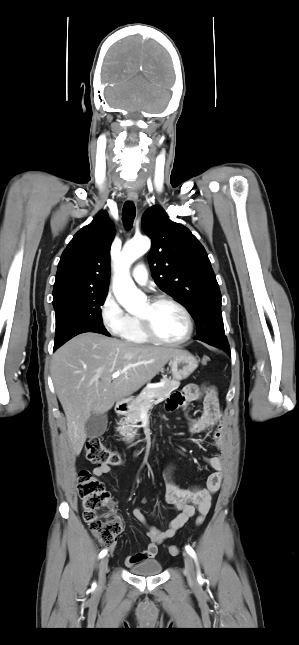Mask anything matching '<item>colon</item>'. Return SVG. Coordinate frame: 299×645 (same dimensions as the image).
<instances>
[{
  "label": "colon",
  "mask_w": 299,
  "mask_h": 645,
  "mask_svg": "<svg viewBox=\"0 0 299 645\" xmlns=\"http://www.w3.org/2000/svg\"><path fill=\"white\" fill-rule=\"evenodd\" d=\"M210 362L209 356L202 358L203 365H209ZM85 451L86 458L94 464L119 466L123 461L120 453L107 448L99 438L89 439ZM78 489L84 520L101 544L112 547L123 529V523L115 512L110 494L88 470L79 472ZM204 521L205 515L199 514L196 518V526H201ZM168 551L171 555L176 556L180 549L171 545L168 547Z\"/></svg>",
  "instance_id": "obj_1"
}]
</instances>
